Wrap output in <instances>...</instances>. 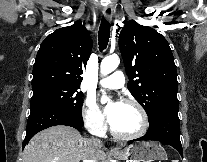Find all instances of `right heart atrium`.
Masks as SVG:
<instances>
[{"label":"right heart atrium","instance_id":"1","mask_svg":"<svg viewBox=\"0 0 207 162\" xmlns=\"http://www.w3.org/2000/svg\"><path fill=\"white\" fill-rule=\"evenodd\" d=\"M82 118L85 126L95 134L105 130L103 115L93 97H87L82 107Z\"/></svg>","mask_w":207,"mask_h":162}]
</instances>
